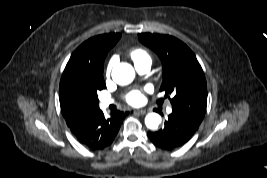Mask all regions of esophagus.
<instances>
[{
	"label": "esophagus",
	"mask_w": 267,
	"mask_h": 178,
	"mask_svg": "<svg viewBox=\"0 0 267 178\" xmlns=\"http://www.w3.org/2000/svg\"><path fill=\"white\" fill-rule=\"evenodd\" d=\"M135 112H137L139 114H146L147 113V110L140 109V110H136Z\"/></svg>",
	"instance_id": "1"
}]
</instances>
